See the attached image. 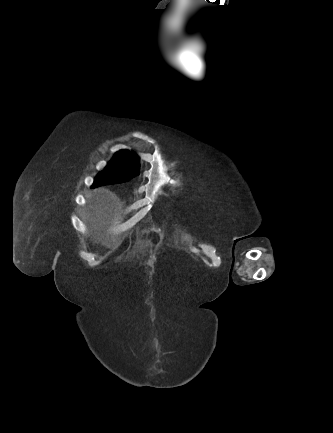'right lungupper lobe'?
I'll list each match as a JSON object with an SVG mask.
<instances>
[{
    "label": "right lung upper lobe",
    "mask_w": 333,
    "mask_h": 433,
    "mask_svg": "<svg viewBox=\"0 0 333 433\" xmlns=\"http://www.w3.org/2000/svg\"><path fill=\"white\" fill-rule=\"evenodd\" d=\"M114 159H128L135 163H138L137 156L133 152H129L127 150L119 151L115 154Z\"/></svg>",
    "instance_id": "obj_1"
}]
</instances>
